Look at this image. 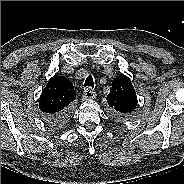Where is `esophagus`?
Listing matches in <instances>:
<instances>
[{"label": "esophagus", "instance_id": "esophagus-1", "mask_svg": "<svg viewBox=\"0 0 184 184\" xmlns=\"http://www.w3.org/2000/svg\"><path fill=\"white\" fill-rule=\"evenodd\" d=\"M96 93L91 89H85L82 95L83 100L95 99Z\"/></svg>", "mask_w": 184, "mask_h": 184}]
</instances>
